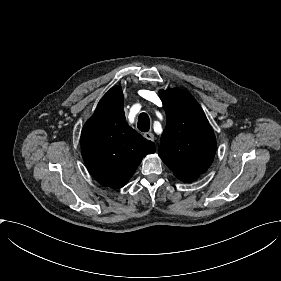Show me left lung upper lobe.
I'll use <instances>...</instances> for the list:
<instances>
[{"mask_svg":"<svg viewBox=\"0 0 281 281\" xmlns=\"http://www.w3.org/2000/svg\"><path fill=\"white\" fill-rule=\"evenodd\" d=\"M166 128L159 156L179 178H196L207 171L216 152L214 132L197 101L180 89L161 90Z\"/></svg>","mask_w":281,"mask_h":281,"instance_id":"obj_1","label":"left lung upper lobe"}]
</instances>
